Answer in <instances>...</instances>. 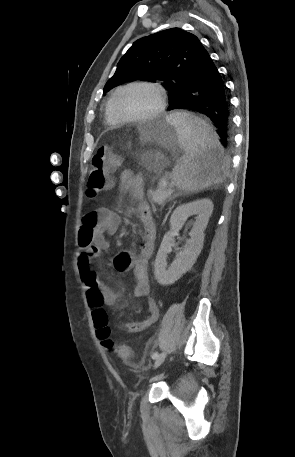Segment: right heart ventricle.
Instances as JSON below:
<instances>
[{
	"label": "right heart ventricle",
	"instance_id": "obj_1",
	"mask_svg": "<svg viewBox=\"0 0 295 457\" xmlns=\"http://www.w3.org/2000/svg\"><path fill=\"white\" fill-rule=\"evenodd\" d=\"M109 102H110V100L107 102L106 107H105V117H106V120L108 123L116 124L117 121L112 117L110 110H109Z\"/></svg>",
	"mask_w": 295,
	"mask_h": 457
}]
</instances>
